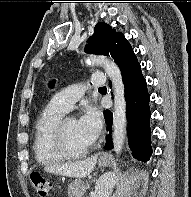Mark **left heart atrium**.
Returning <instances> with one entry per match:
<instances>
[{"mask_svg":"<svg viewBox=\"0 0 191 197\" xmlns=\"http://www.w3.org/2000/svg\"><path fill=\"white\" fill-rule=\"evenodd\" d=\"M78 129L82 137L89 143H93L102 129V118L100 111L89 106L77 121Z\"/></svg>","mask_w":191,"mask_h":197,"instance_id":"left-heart-atrium-1","label":"left heart atrium"}]
</instances>
